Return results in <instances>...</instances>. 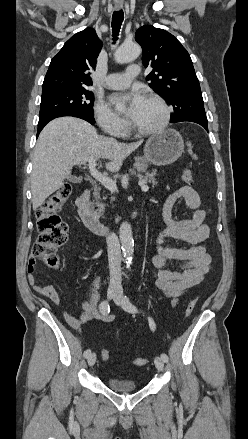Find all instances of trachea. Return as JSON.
Listing matches in <instances>:
<instances>
[{
  "instance_id": "1",
  "label": "trachea",
  "mask_w": 248,
  "mask_h": 439,
  "mask_svg": "<svg viewBox=\"0 0 248 439\" xmlns=\"http://www.w3.org/2000/svg\"><path fill=\"white\" fill-rule=\"evenodd\" d=\"M124 19V13L122 10L115 11L112 15V31H113V37L118 36V33L120 31L122 22ZM117 38H114L113 40H116Z\"/></svg>"
}]
</instances>
